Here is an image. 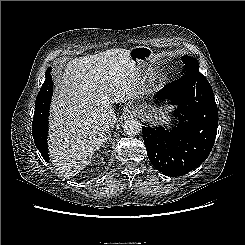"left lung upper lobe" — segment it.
I'll return each mask as SVG.
<instances>
[{
    "label": "left lung upper lobe",
    "mask_w": 245,
    "mask_h": 245,
    "mask_svg": "<svg viewBox=\"0 0 245 245\" xmlns=\"http://www.w3.org/2000/svg\"><path fill=\"white\" fill-rule=\"evenodd\" d=\"M183 63L185 64V69L182 72V76L187 73L192 72H199V64L198 61L191 57V56H183L182 58Z\"/></svg>",
    "instance_id": "left-lung-upper-lobe-1"
}]
</instances>
